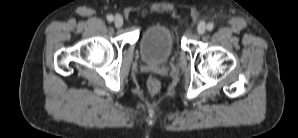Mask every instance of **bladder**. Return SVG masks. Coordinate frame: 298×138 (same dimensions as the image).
Wrapping results in <instances>:
<instances>
[{"instance_id":"31cf9c89","label":"bladder","mask_w":298,"mask_h":138,"mask_svg":"<svg viewBox=\"0 0 298 138\" xmlns=\"http://www.w3.org/2000/svg\"><path fill=\"white\" fill-rule=\"evenodd\" d=\"M176 42V33L170 24L163 21L152 22L140 36V52L146 62L162 64L175 51Z\"/></svg>"}]
</instances>
